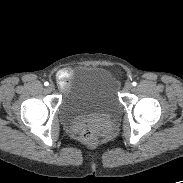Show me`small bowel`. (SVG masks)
Segmentation results:
<instances>
[{
	"label": "small bowel",
	"mask_w": 183,
	"mask_h": 183,
	"mask_svg": "<svg viewBox=\"0 0 183 183\" xmlns=\"http://www.w3.org/2000/svg\"><path fill=\"white\" fill-rule=\"evenodd\" d=\"M71 74H72V73H71L70 70H63V71H61V72L59 73L58 78L63 79V83H64V86H61V87L65 88V87L68 85L69 79H70V77H71Z\"/></svg>",
	"instance_id": "1"
}]
</instances>
